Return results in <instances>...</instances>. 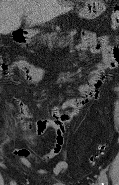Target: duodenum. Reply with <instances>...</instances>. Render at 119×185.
Returning a JSON list of instances; mask_svg holds the SVG:
<instances>
[{"instance_id": "obj_1", "label": "duodenum", "mask_w": 119, "mask_h": 185, "mask_svg": "<svg viewBox=\"0 0 119 185\" xmlns=\"http://www.w3.org/2000/svg\"><path fill=\"white\" fill-rule=\"evenodd\" d=\"M16 38H17V40H18L19 42H23V41L25 40V38H26L25 32L22 31V30L17 31V33H16Z\"/></svg>"}]
</instances>
